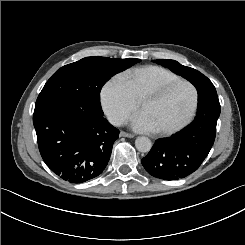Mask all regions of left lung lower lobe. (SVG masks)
<instances>
[{
	"label": "left lung lower lobe",
	"mask_w": 245,
	"mask_h": 245,
	"mask_svg": "<svg viewBox=\"0 0 245 245\" xmlns=\"http://www.w3.org/2000/svg\"><path fill=\"white\" fill-rule=\"evenodd\" d=\"M198 112L195 120L182 131L158 139L141 162L155 178L178 180L196 171L207 157L216 136L220 103L210 80L196 85Z\"/></svg>",
	"instance_id": "0a47b994"
}]
</instances>
